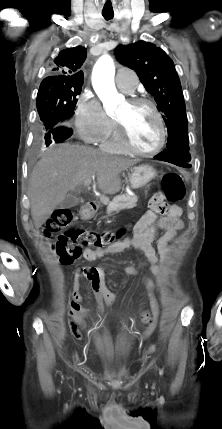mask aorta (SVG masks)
Here are the masks:
<instances>
[{
    "label": "aorta",
    "instance_id": "762f6f07",
    "mask_svg": "<svg viewBox=\"0 0 222 429\" xmlns=\"http://www.w3.org/2000/svg\"><path fill=\"white\" fill-rule=\"evenodd\" d=\"M114 76L113 59L109 55L101 56L93 69L92 85L108 114L114 113L124 102V97L117 92L115 87Z\"/></svg>",
    "mask_w": 222,
    "mask_h": 429
}]
</instances>
